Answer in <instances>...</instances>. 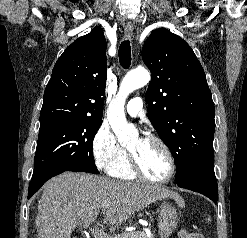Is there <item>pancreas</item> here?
Here are the masks:
<instances>
[{
	"label": "pancreas",
	"mask_w": 247,
	"mask_h": 238,
	"mask_svg": "<svg viewBox=\"0 0 247 238\" xmlns=\"http://www.w3.org/2000/svg\"><path fill=\"white\" fill-rule=\"evenodd\" d=\"M112 238H153V236L148 235L144 231H134V232H128V233L124 232Z\"/></svg>",
	"instance_id": "1"
}]
</instances>
